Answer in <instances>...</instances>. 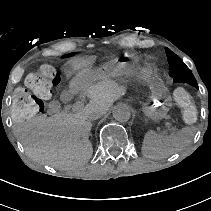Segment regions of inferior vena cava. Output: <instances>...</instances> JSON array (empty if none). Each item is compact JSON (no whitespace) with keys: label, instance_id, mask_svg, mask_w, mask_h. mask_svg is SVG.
Returning a JSON list of instances; mask_svg holds the SVG:
<instances>
[{"label":"inferior vena cava","instance_id":"1","mask_svg":"<svg viewBox=\"0 0 211 211\" xmlns=\"http://www.w3.org/2000/svg\"><path fill=\"white\" fill-rule=\"evenodd\" d=\"M83 111L88 116L89 120L99 119L103 114L101 110H96L91 105L85 106Z\"/></svg>","mask_w":211,"mask_h":211}]
</instances>
